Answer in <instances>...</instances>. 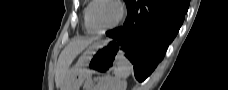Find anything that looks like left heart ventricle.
Segmentation results:
<instances>
[{
	"instance_id": "obj_1",
	"label": "left heart ventricle",
	"mask_w": 228,
	"mask_h": 90,
	"mask_svg": "<svg viewBox=\"0 0 228 90\" xmlns=\"http://www.w3.org/2000/svg\"><path fill=\"white\" fill-rule=\"evenodd\" d=\"M117 15L116 5L108 1H99L92 8L91 22L96 29H103L112 24Z\"/></svg>"
}]
</instances>
